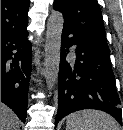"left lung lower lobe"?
I'll list each match as a JSON object with an SVG mask.
<instances>
[{
    "mask_svg": "<svg viewBox=\"0 0 123 130\" xmlns=\"http://www.w3.org/2000/svg\"><path fill=\"white\" fill-rule=\"evenodd\" d=\"M76 45L75 63L66 61ZM121 102L111 69L110 51L84 41L63 27L58 81L57 123L66 115L82 110H102L122 125Z\"/></svg>",
    "mask_w": 123,
    "mask_h": 130,
    "instance_id": "obj_1",
    "label": "left lung lower lobe"
}]
</instances>
